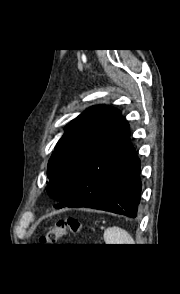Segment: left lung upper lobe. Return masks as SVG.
<instances>
[{"label": "left lung upper lobe", "mask_w": 180, "mask_h": 294, "mask_svg": "<svg viewBox=\"0 0 180 294\" xmlns=\"http://www.w3.org/2000/svg\"><path fill=\"white\" fill-rule=\"evenodd\" d=\"M122 118L115 108H88L65 127L48 163V195L60 200Z\"/></svg>", "instance_id": "left-lung-upper-lobe-1"}]
</instances>
